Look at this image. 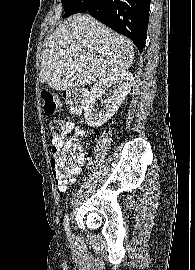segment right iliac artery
Segmentation results:
<instances>
[{
    "instance_id": "1",
    "label": "right iliac artery",
    "mask_w": 195,
    "mask_h": 270,
    "mask_svg": "<svg viewBox=\"0 0 195 270\" xmlns=\"http://www.w3.org/2000/svg\"><path fill=\"white\" fill-rule=\"evenodd\" d=\"M64 227H65L66 234L69 237L70 236V226H69V215L68 214L65 217Z\"/></svg>"
}]
</instances>
